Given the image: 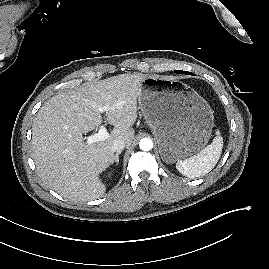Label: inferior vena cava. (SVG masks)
Instances as JSON below:
<instances>
[{
  "instance_id": "obj_1",
  "label": "inferior vena cava",
  "mask_w": 269,
  "mask_h": 269,
  "mask_svg": "<svg viewBox=\"0 0 269 269\" xmlns=\"http://www.w3.org/2000/svg\"><path fill=\"white\" fill-rule=\"evenodd\" d=\"M125 148V142L123 140H115L112 143L111 150L113 152H120Z\"/></svg>"
}]
</instances>
